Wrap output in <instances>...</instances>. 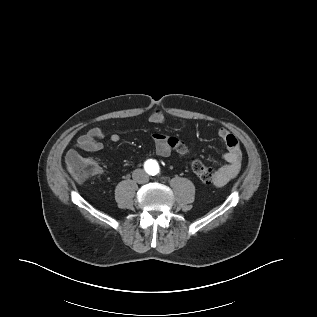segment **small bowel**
<instances>
[{
	"label": "small bowel",
	"instance_id": "1",
	"mask_svg": "<svg viewBox=\"0 0 317 317\" xmlns=\"http://www.w3.org/2000/svg\"><path fill=\"white\" fill-rule=\"evenodd\" d=\"M149 121L155 124H163L166 121L165 115L159 109H155L149 115ZM105 133L100 127H92L85 134L79 137L77 148L85 153H95L103 149L102 139ZM219 139L225 144L227 151L224 159L227 162L215 173L214 185L223 186L234 179L239 173L242 165V151L238 139L226 129L222 128L218 131ZM111 142H118L120 136L118 134H110ZM156 153L161 157H168L172 153H180L187 149V146L177 138L165 137L161 134H155ZM81 155L77 150H71L67 154V160L70 163Z\"/></svg>",
	"mask_w": 317,
	"mask_h": 317
}]
</instances>
